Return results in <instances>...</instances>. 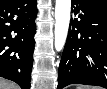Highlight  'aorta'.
Returning a JSON list of instances; mask_svg holds the SVG:
<instances>
[{"label":"aorta","mask_w":107,"mask_h":89,"mask_svg":"<svg viewBox=\"0 0 107 89\" xmlns=\"http://www.w3.org/2000/svg\"><path fill=\"white\" fill-rule=\"evenodd\" d=\"M71 0H56L55 49L61 51L65 45L70 23Z\"/></svg>","instance_id":"aorta-1"}]
</instances>
